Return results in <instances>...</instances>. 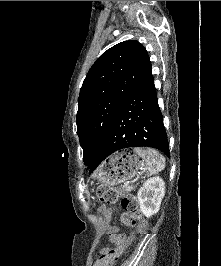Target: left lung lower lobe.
<instances>
[{
	"mask_svg": "<svg viewBox=\"0 0 221 266\" xmlns=\"http://www.w3.org/2000/svg\"><path fill=\"white\" fill-rule=\"evenodd\" d=\"M143 146L159 149L170 156L152 74L123 101L93 162L88 166L90 173L114 152Z\"/></svg>",
	"mask_w": 221,
	"mask_h": 266,
	"instance_id": "left-lung-lower-lobe-1",
	"label": "left lung lower lobe"
}]
</instances>
